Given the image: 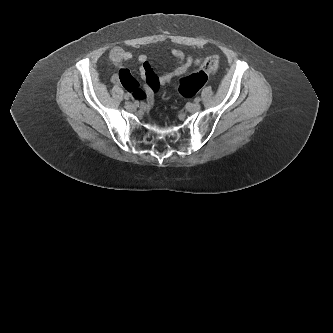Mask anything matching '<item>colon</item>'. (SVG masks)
<instances>
[{
    "mask_svg": "<svg viewBox=\"0 0 333 333\" xmlns=\"http://www.w3.org/2000/svg\"><path fill=\"white\" fill-rule=\"evenodd\" d=\"M219 66V58L211 56L207 58L201 69L179 82V92L184 97H192L205 85L208 73L215 71Z\"/></svg>",
    "mask_w": 333,
    "mask_h": 333,
    "instance_id": "1",
    "label": "colon"
}]
</instances>
